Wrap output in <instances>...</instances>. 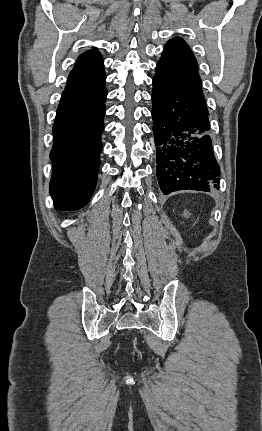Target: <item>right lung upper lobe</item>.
Listing matches in <instances>:
<instances>
[{
  "label": "right lung upper lobe",
  "instance_id": "right-lung-upper-lobe-1",
  "mask_svg": "<svg viewBox=\"0 0 262 431\" xmlns=\"http://www.w3.org/2000/svg\"><path fill=\"white\" fill-rule=\"evenodd\" d=\"M103 59L97 50L81 54L69 74L65 90H93L105 85Z\"/></svg>",
  "mask_w": 262,
  "mask_h": 431
}]
</instances>
